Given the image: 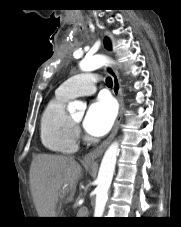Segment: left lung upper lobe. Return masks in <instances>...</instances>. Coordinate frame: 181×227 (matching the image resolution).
<instances>
[{"instance_id":"obj_1","label":"left lung upper lobe","mask_w":181,"mask_h":227,"mask_svg":"<svg viewBox=\"0 0 181 227\" xmlns=\"http://www.w3.org/2000/svg\"><path fill=\"white\" fill-rule=\"evenodd\" d=\"M105 47L108 48V49H111L110 42L107 38L105 39Z\"/></svg>"}]
</instances>
